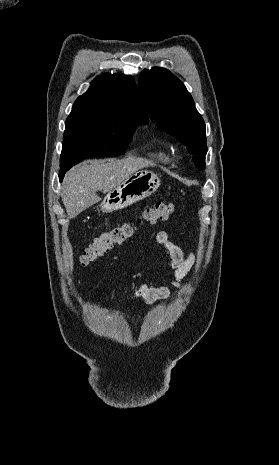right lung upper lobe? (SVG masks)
I'll list each match as a JSON object with an SVG mask.
<instances>
[{
    "mask_svg": "<svg viewBox=\"0 0 279 465\" xmlns=\"http://www.w3.org/2000/svg\"><path fill=\"white\" fill-rule=\"evenodd\" d=\"M121 120L148 122L139 90L131 76L103 74L77 98L65 128L99 126Z\"/></svg>",
    "mask_w": 279,
    "mask_h": 465,
    "instance_id": "right-lung-upper-lobe-1",
    "label": "right lung upper lobe"
}]
</instances>
